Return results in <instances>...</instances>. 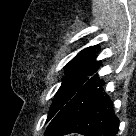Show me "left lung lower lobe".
Segmentation results:
<instances>
[{"instance_id":"1","label":"left lung lower lobe","mask_w":136,"mask_h":136,"mask_svg":"<svg viewBox=\"0 0 136 136\" xmlns=\"http://www.w3.org/2000/svg\"><path fill=\"white\" fill-rule=\"evenodd\" d=\"M94 74L77 91L73 98L52 118L45 134L59 136L79 133L85 136H115V118L107 97Z\"/></svg>"}]
</instances>
